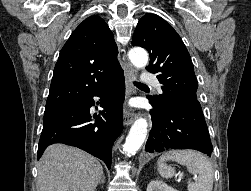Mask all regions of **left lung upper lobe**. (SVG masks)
I'll return each mask as SVG.
<instances>
[{"instance_id": "1", "label": "left lung upper lobe", "mask_w": 251, "mask_h": 191, "mask_svg": "<svg viewBox=\"0 0 251 191\" xmlns=\"http://www.w3.org/2000/svg\"><path fill=\"white\" fill-rule=\"evenodd\" d=\"M133 46L145 48L150 55L151 73L163 85V94L149 96L158 105L167 106L180 100L197 99L198 82L190 54L177 32L155 14L144 15L134 31Z\"/></svg>"}]
</instances>
